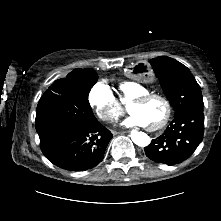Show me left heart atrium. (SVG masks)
Returning a JSON list of instances; mask_svg holds the SVG:
<instances>
[{
  "mask_svg": "<svg viewBox=\"0 0 221 221\" xmlns=\"http://www.w3.org/2000/svg\"><path fill=\"white\" fill-rule=\"evenodd\" d=\"M123 124L126 126H146L145 121L136 114H131Z\"/></svg>",
  "mask_w": 221,
  "mask_h": 221,
  "instance_id": "obj_1",
  "label": "left heart atrium"
}]
</instances>
